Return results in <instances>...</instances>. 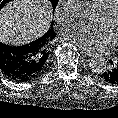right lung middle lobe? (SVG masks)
<instances>
[{"label":"right lung middle lobe","mask_w":118,"mask_h":118,"mask_svg":"<svg viewBox=\"0 0 118 118\" xmlns=\"http://www.w3.org/2000/svg\"><path fill=\"white\" fill-rule=\"evenodd\" d=\"M10 0H3V2L0 4V9L2 8V6L4 4H6L7 2H9ZM59 0H50L51 4H52V7H53V11L55 10V7L57 5Z\"/></svg>","instance_id":"obj_1"}]
</instances>
